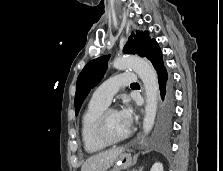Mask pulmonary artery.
I'll return each mask as SVG.
<instances>
[{"label": "pulmonary artery", "mask_w": 223, "mask_h": 171, "mask_svg": "<svg viewBox=\"0 0 223 171\" xmlns=\"http://www.w3.org/2000/svg\"><path fill=\"white\" fill-rule=\"evenodd\" d=\"M137 76L133 72H124L103 82L93 93L92 99L109 105L113 96L121 87L131 85L136 82Z\"/></svg>", "instance_id": "1"}]
</instances>
